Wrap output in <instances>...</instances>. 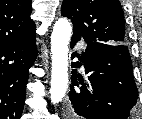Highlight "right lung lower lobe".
Here are the masks:
<instances>
[{"instance_id":"right-lung-lower-lobe-1","label":"right lung lower lobe","mask_w":142,"mask_h":119,"mask_svg":"<svg viewBox=\"0 0 142 119\" xmlns=\"http://www.w3.org/2000/svg\"><path fill=\"white\" fill-rule=\"evenodd\" d=\"M35 33L0 47V119H20L29 68L36 58Z\"/></svg>"}]
</instances>
